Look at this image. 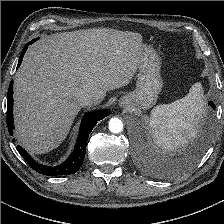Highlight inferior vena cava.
<instances>
[{
  "label": "inferior vena cava",
  "instance_id": "1",
  "mask_svg": "<svg viewBox=\"0 0 224 224\" xmlns=\"http://www.w3.org/2000/svg\"><path fill=\"white\" fill-rule=\"evenodd\" d=\"M79 103L82 107H85V106L96 105L99 102L94 96L90 94H84L79 98Z\"/></svg>",
  "mask_w": 224,
  "mask_h": 224
}]
</instances>
